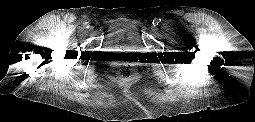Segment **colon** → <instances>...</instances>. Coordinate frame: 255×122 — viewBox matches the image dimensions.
Returning <instances> with one entry per match:
<instances>
[{
    "label": "colon",
    "instance_id": "colon-1",
    "mask_svg": "<svg viewBox=\"0 0 255 122\" xmlns=\"http://www.w3.org/2000/svg\"><path fill=\"white\" fill-rule=\"evenodd\" d=\"M118 75L125 81H132L137 77V70L131 63H122L118 68Z\"/></svg>",
    "mask_w": 255,
    "mask_h": 122
}]
</instances>
